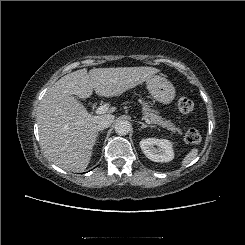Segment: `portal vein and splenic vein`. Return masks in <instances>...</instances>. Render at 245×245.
<instances>
[{
	"instance_id": "18ae733b",
	"label": "portal vein and splenic vein",
	"mask_w": 245,
	"mask_h": 245,
	"mask_svg": "<svg viewBox=\"0 0 245 245\" xmlns=\"http://www.w3.org/2000/svg\"><path fill=\"white\" fill-rule=\"evenodd\" d=\"M108 110H109V105L104 104V105L99 106L95 112H96V114H104V113L108 112ZM144 120L146 123L152 124V122L148 118L145 117Z\"/></svg>"
}]
</instances>
